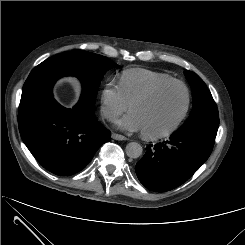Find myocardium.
Here are the masks:
<instances>
[{
  "mask_svg": "<svg viewBox=\"0 0 245 245\" xmlns=\"http://www.w3.org/2000/svg\"><path fill=\"white\" fill-rule=\"evenodd\" d=\"M172 85L180 86L185 91L186 101H185L184 109H183L182 113L180 114L179 118L176 120V122L170 128H168V129H166V130H164L162 132H159V133H148V132H144L143 131L142 134L147 139H150V140L164 139V138H167V137L171 136L173 133H175L178 130V128L182 125V123L184 122V120L187 117L188 112L190 110V106H191V92H190V89L188 88V86L185 83H183V82H181L179 80H175V79L168 80V81L160 82V83L152 86L145 93L137 96L136 98H134L129 103V111L131 112V109L135 105L150 100L161 89H163L165 87H168V86H172Z\"/></svg>",
  "mask_w": 245,
  "mask_h": 245,
  "instance_id": "obj_1",
  "label": "myocardium"
}]
</instances>
